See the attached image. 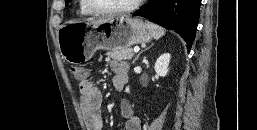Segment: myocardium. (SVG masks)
I'll return each instance as SVG.
<instances>
[{
    "mask_svg": "<svg viewBox=\"0 0 257 130\" xmlns=\"http://www.w3.org/2000/svg\"><path fill=\"white\" fill-rule=\"evenodd\" d=\"M143 1L144 0H134L131 4H129L127 6L120 7V8H111V9L96 8L90 2V0H83V3H84V6L86 7V9L92 14H95V15H115V14H124V13L132 12L135 9H137Z\"/></svg>",
    "mask_w": 257,
    "mask_h": 130,
    "instance_id": "f54148a6",
    "label": "myocardium"
}]
</instances>
